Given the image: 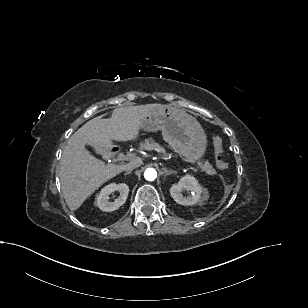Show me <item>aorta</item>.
I'll list each match as a JSON object with an SVG mask.
<instances>
[{"label": "aorta", "instance_id": "1", "mask_svg": "<svg viewBox=\"0 0 308 308\" xmlns=\"http://www.w3.org/2000/svg\"><path fill=\"white\" fill-rule=\"evenodd\" d=\"M144 177L148 181H154L157 178V172L154 168H147L144 172Z\"/></svg>", "mask_w": 308, "mask_h": 308}]
</instances>
